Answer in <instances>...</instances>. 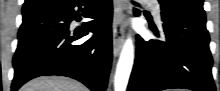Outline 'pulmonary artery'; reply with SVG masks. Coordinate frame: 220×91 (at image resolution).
<instances>
[{
    "mask_svg": "<svg viewBox=\"0 0 220 91\" xmlns=\"http://www.w3.org/2000/svg\"><path fill=\"white\" fill-rule=\"evenodd\" d=\"M149 3H151L152 12H153L155 18L160 22V9L157 4V1H149Z\"/></svg>",
    "mask_w": 220,
    "mask_h": 91,
    "instance_id": "1",
    "label": "pulmonary artery"
}]
</instances>
